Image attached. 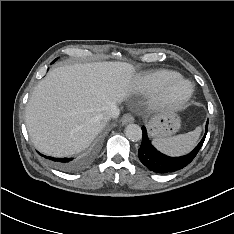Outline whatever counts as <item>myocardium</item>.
<instances>
[{"label": "myocardium", "instance_id": "myocardium-1", "mask_svg": "<svg viewBox=\"0 0 234 234\" xmlns=\"http://www.w3.org/2000/svg\"><path fill=\"white\" fill-rule=\"evenodd\" d=\"M184 85L186 89L179 91V86ZM193 85L186 79L177 77L163 85L155 97L158 104L178 106L188 101L193 95Z\"/></svg>", "mask_w": 234, "mask_h": 234}]
</instances>
